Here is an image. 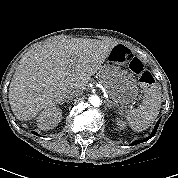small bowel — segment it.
<instances>
[{
	"mask_svg": "<svg viewBox=\"0 0 178 178\" xmlns=\"http://www.w3.org/2000/svg\"><path fill=\"white\" fill-rule=\"evenodd\" d=\"M122 59H124L125 57H126V54L128 53V49H126V48H122Z\"/></svg>",
	"mask_w": 178,
	"mask_h": 178,
	"instance_id": "1",
	"label": "small bowel"
}]
</instances>
